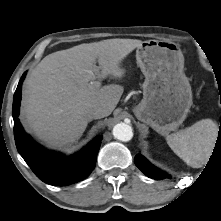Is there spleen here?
Returning <instances> with one entry per match:
<instances>
[{"label": "spleen", "mask_w": 221, "mask_h": 221, "mask_svg": "<svg viewBox=\"0 0 221 221\" xmlns=\"http://www.w3.org/2000/svg\"><path fill=\"white\" fill-rule=\"evenodd\" d=\"M218 134V125L202 119L190 127L166 136L173 152L187 165L200 168L209 160Z\"/></svg>", "instance_id": "3e777b00"}]
</instances>
